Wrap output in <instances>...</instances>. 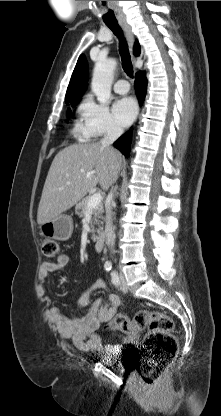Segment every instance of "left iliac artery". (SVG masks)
I'll return each mask as SVG.
<instances>
[{
    "instance_id": "44dca946",
    "label": "left iliac artery",
    "mask_w": 221,
    "mask_h": 416,
    "mask_svg": "<svg viewBox=\"0 0 221 416\" xmlns=\"http://www.w3.org/2000/svg\"><path fill=\"white\" fill-rule=\"evenodd\" d=\"M111 278H112V283L114 285H118L119 284V277H118V274L115 271H113L111 273Z\"/></svg>"
}]
</instances>
